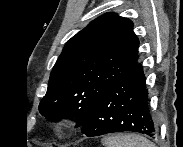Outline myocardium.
<instances>
[{
    "instance_id": "f54148a6",
    "label": "myocardium",
    "mask_w": 183,
    "mask_h": 147,
    "mask_svg": "<svg viewBox=\"0 0 183 147\" xmlns=\"http://www.w3.org/2000/svg\"><path fill=\"white\" fill-rule=\"evenodd\" d=\"M54 126L57 130H66L69 128V120L65 116H60L55 120Z\"/></svg>"
}]
</instances>
